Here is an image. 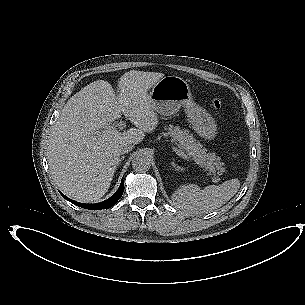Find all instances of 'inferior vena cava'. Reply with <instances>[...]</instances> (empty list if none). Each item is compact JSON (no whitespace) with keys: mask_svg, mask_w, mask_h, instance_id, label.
I'll return each mask as SVG.
<instances>
[{"mask_svg":"<svg viewBox=\"0 0 305 305\" xmlns=\"http://www.w3.org/2000/svg\"><path fill=\"white\" fill-rule=\"evenodd\" d=\"M135 143L131 140H123L119 144V152L124 154L132 151L134 148Z\"/></svg>","mask_w":305,"mask_h":305,"instance_id":"602c4592","label":"inferior vena cava"}]
</instances>
